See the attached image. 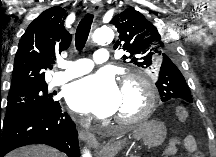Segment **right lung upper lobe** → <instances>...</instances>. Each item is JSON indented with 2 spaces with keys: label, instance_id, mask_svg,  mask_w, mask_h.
I'll use <instances>...</instances> for the list:
<instances>
[{
  "label": "right lung upper lobe",
  "instance_id": "1",
  "mask_svg": "<svg viewBox=\"0 0 216 157\" xmlns=\"http://www.w3.org/2000/svg\"><path fill=\"white\" fill-rule=\"evenodd\" d=\"M67 15L64 8L54 6L28 26L18 45L10 92L47 85L44 70L52 67L55 54L66 50L72 40L64 27Z\"/></svg>",
  "mask_w": 216,
  "mask_h": 157
}]
</instances>
